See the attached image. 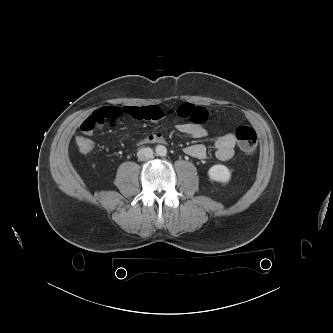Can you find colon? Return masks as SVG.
Listing matches in <instances>:
<instances>
[{
    "instance_id": "obj_1",
    "label": "colon",
    "mask_w": 333,
    "mask_h": 333,
    "mask_svg": "<svg viewBox=\"0 0 333 333\" xmlns=\"http://www.w3.org/2000/svg\"><path fill=\"white\" fill-rule=\"evenodd\" d=\"M239 148L245 154H252L257 147L258 137L256 131L249 126H239L235 131ZM76 145L80 152L88 153L93 148V142L86 137H76Z\"/></svg>"
}]
</instances>
